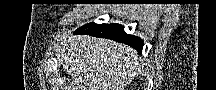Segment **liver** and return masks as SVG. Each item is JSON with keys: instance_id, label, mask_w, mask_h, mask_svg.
Masks as SVG:
<instances>
[{"instance_id": "1", "label": "liver", "mask_w": 216, "mask_h": 90, "mask_svg": "<svg viewBox=\"0 0 216 90\" xmlns=\"http://www.w3.org/2000/svg\"><path fill=\"white\" fill-rule=\"evenodd\" d=\"M62 50L71 90H124L141 62L136 50L112 40L69 36Z\"/></svg>"}]
</instances>
